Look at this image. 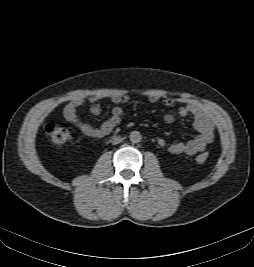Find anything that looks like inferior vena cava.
I'll return each instance as SVG.
<instances>
[{
    "label": "inferior vena cava",
    "instance_id": "obj_1",
    "mask_svg": "<svg viewBox=\"0 0 254 267\" xmlns=\"http://www.w3.org/2000/svg\"><path fill=\"white\" fill-rule=\"evenodd\" d=\"M121 141H122V138H114L113 141H112V143H113V144H118V143H120Z\"/></svg>",
    "mask_w": 254,
    "mask_h": 267
}]
</instances>
